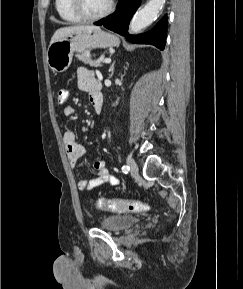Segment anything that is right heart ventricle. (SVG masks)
I'll list each match as a JSON object with an SVG mask.
<instances>
[{"label": "right heart ventricle", "instance_id": "1", "mask_svg": "<svg viewBox=\"0 0 243 289\" xmlns=\"http://www.w3.org/2000/svg\"><path fill=\"white\" fill-rule=\"evenodd\" d=\"M55 8L61 19L70 23L80 22L82 19L75 14L71 7V0H55Z\"/></svg>", "mask_w": 243, "mask_h": 289}]
</instances>
